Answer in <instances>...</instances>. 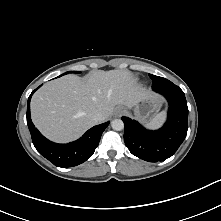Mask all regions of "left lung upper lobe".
Returning a JSON list of instances; mask_svg holds the SVG:
<instances>
[{"instance_id": "obj_1", "label": "left lung upper lobe", "mask_w": 221, "mask_h": 221, "mask_svg": "<svg viewBox=\"0 0 221 221\" xmlns=\"http://www.w3.org/2000/svg\"><path fill=\"white\" fill-rule=\"evenodd\" d=\"M149 76L153 81L152 89L156 90V89L171 87V86L175 85L171 81H169L163 77L155 76L152 74H149Z\"/></svg>"}]
</instances>
